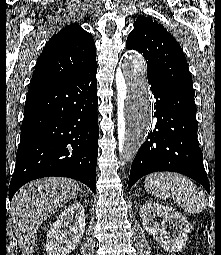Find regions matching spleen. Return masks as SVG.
Wrapping results in <instances>:
<instances>
[{"mask_svg": "<svg viewBox=\"0 0 221 255\" xmlns=\"http://www.w3.org/2000/svg\"><path fill=\"white\" fill-rule=\"evenodd\" d=\"M145 189L158 198L173 200L190 214L202 212L207 205L205 194L185 176L160 172L145 178Z\"/></svg>", "mask_w": 221, "mask_h": 255, "instance_id": "obj_1", "label": "spleen"}]
</instances>
